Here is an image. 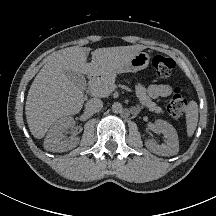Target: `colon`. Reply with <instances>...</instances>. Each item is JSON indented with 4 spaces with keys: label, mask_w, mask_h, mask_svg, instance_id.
Masks as SVG:
<instances>
[{
    "label": "colon",
    "mask_w": 216,
    "mask_h": 216,
    "mask_svg": "<svg viewBox=\"0 0 216 216\" xmlns=\"http://www.w3.org/2000/svg\"><path fill=\"white\" fill-rule=\"evenodd\" d=\"M152 64L158 76L162 78L168 77L175 67L173 59L162 55L155 56ZM186 108L187 100L182 90L180 88H175L167 106L168 113L175 118H180L184 115Z\"/></svg>",
    "instance_id": "5ec220e1"
}]
</instances>
